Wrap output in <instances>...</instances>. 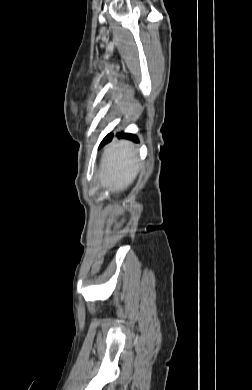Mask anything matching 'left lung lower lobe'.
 <instances>
[{
	"label": "left lung lower lobe",
	"instance_id": "0a47b994",
	"mask_svg": "<svg viewBox=\"0 0 252 390\" xmlns=\"http://www.w3.org/2000/svg\"><path fill=\"white\" fill-rule=\"evenodd\" d=\"M117 136L119 138H127V139H130V140H133L135 142H138V138L133 135V134H129V133H118ZM112 138V135H107L104 140L101 142L100 144V147L103 146L106 142H108L109 140H111Z\"/></svg>",
	"mask_w": 252,
	"mask_h": 390
}]
</instances>
